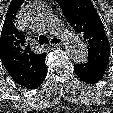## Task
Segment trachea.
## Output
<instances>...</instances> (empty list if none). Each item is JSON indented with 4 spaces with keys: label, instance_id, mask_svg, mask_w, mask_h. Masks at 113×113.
Listing matches in <instances>:
<instances>
[{
    "label": "trachea",
    "instance_id": "3493384b",
    "mask_svg": "<svg viewBox=\"0 0 113 113\" xmlns=\"http://www.w3.org/2000/svg\"><path fill=\"white\" fill-rule=\"evenodd\" d=\"M39 42L41 45L48 44L49 39L45 35H40L39 36Z\"/></svg>",
    "mask_w": 113,
    "mask_h": 113
}]
</instances>
